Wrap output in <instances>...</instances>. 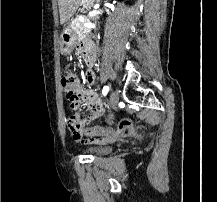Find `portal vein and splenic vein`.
<instances>
[{"mask_svg": "<svg viewBox=\"0 0 217 202\" xmlns=\"http://www.w3.org/2000/svg\"><path fill=\"white\" fill-rule=\"evenodd\" d=\"M84 26H86V24H84ZM87 28H89V26H87Z\"/></svg>", "mask_w": 217, "mask_h": 202, "instance_id": "18ae733b", "label": "portal vein and splenic vein"}]
</instances>
